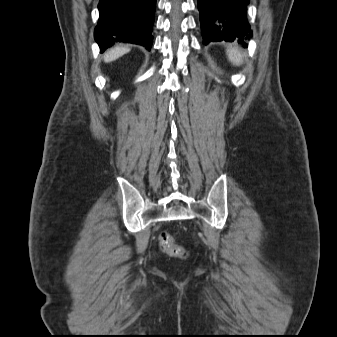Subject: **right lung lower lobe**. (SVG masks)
Listing matches in <instances>:
<instances>
[{
    "label": "right lung lower lobe",
    "instance_id": "1",
    "mask_svg": "<svg viewBox=\"0 0 337 337\" xmlns=\"http://www.w3.org/2000/svg\"><path fill=\"white\" fill-rule=\"evenodd\" d=\"M156 0H100L94 37L101 52L116 42L151 49Z\"/></svg>",
    "mask_w": 337,
    "mask_h": 337
}]
</instances>
